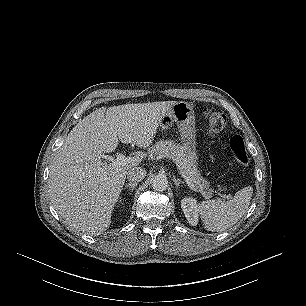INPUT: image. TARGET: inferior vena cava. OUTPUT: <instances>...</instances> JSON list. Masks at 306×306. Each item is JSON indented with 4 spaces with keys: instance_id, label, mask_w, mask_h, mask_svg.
Instances as JSON below:
<instances>
[{
    "instance_id": "inferior-vena-cava-1",
    "label": "inferior vena cava",
    "mask_w": 306,
    "mask_h": 306,
    "mask_svg": "<svg viewBox=\"0 0 306 306\" xmlns=\"http://www.w3.org/2000/svg\"><path fill=\"white\" fill-rule=\"evenodd\" d=\"M146 176L145 169L141 167H134L127 172V179L130 183H138Z\"/></svg>"
}]
</instances>
